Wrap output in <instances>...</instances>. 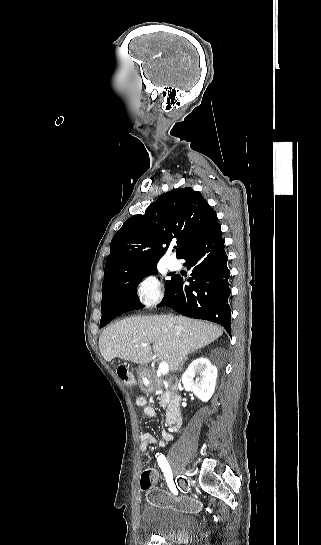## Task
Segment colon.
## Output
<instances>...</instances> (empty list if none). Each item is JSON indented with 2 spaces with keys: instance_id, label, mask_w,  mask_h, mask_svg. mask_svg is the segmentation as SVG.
<instances>
[{
  "instance_id": "1",
  "label": "colon",
  "mask_w": 321,
  "mask_h": 545,
  "mask_svg": "<svg viewBox=\"0 0 321 545\" xmlns=\"http://www.w3.org/2000/svg\"><path fill=\"white\" fill-rule=\"evenodd\" d=\"M117 374L128 389H132L134 387V377L125 366H120L117 370ZM153 484L154 481L150 470H144L141 474L140 485L143 490L149 491L147 498L153 505L179 509L186 512H196L200 509V503L194 498L185 495L175 497L166 491L152 489Z\"/></svg>"
}]
</instances>
